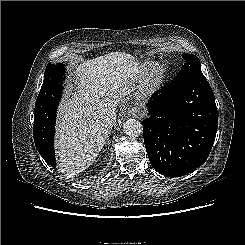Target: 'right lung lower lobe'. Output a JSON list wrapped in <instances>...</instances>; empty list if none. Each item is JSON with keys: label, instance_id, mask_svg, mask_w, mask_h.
<instances>
[{"label": "right lung lower lobe", "instance_id": "right-lung-lower-lobe-1", "mask_svg": "<svg viewBox=\"0 0 245 245\" xmlns=\"http://www.w3.org/2000/svg\"><path fill=\"white\" fill-rule=\"evenodd\" d=\"M55 117L42 119L34 117L33 137L40 155L47 164L56 167L53 138L55 132Z\"/></svg>", "mask_w": 245, "mask_h": 245}]
</instances>
